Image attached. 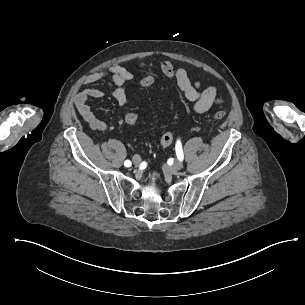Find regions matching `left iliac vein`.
<instances>
[{"instance_id": "4c4485c4", "label": "left iliac vein", "mask_w": 305, "mask_h": 305, "mask_svg": "<svg viewBox=\"0 0 305 305\" xmlns=\"http://www.w3.org/2000/svg\"><path fill=\"white\" fill-rule=\"evenodd\" d=\"M183 167V163L181 160H176L174 162V164L170 167L171 171L176 172L181 170V168Z\"/></svg>"}]
</instances>
